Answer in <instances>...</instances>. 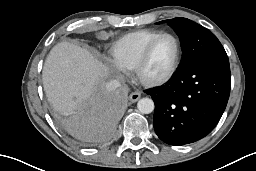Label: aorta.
<instances>
[{
    "mask_svg": "<svg viewBox=\"0 0 256 171\" xmlns=\"http://www.w3.org/2000/svg\"><path fill=\"white\" fill-rule=\"evenodd\" d=\"M154 102L150 98H142L137 103V108L142 114H149L154 110Z\"/></svg>",
    "mask_w": 256,
    "mask_h": 171,
    "instance_id": "obj_1",
    "label": "aorta"
}]
</instances>
